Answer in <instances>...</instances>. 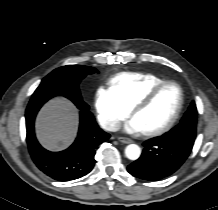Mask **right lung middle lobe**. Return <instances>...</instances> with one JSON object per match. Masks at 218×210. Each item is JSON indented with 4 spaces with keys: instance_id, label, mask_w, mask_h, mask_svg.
Here are the masks:
<instances>
[{
    "instance_id": "obj_1",
    "label": "right lung middle lobe",
    "mask_w": 218,
    "mask_h": 210,
    "mask_svg": "<svg viewBox=\"0 0 218 210\" xmlns=\"http://www.w3.org/2000/svg\"><path fill=\"white\" fill-rule=\"evenodd\" d=\"M95 72H97L95 68L82 65H67L57 68L42 80L32 97L63 95L69 99H82L79 83L86 75Z\"/></svg>"
}]
</instances>
